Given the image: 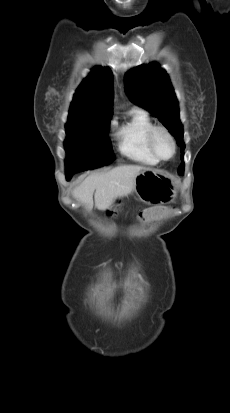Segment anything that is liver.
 <instances>
[{
  "label": "liver",
  "instance_id": "1",
  "mask_svg": "<svg viewBox=\"0 0 230 413\" xmlns=\"http://www.w3.org/2000/svg\"><path fill=\"white\" fill-rule=\"evenodd\" d=\"M143 168L140 165H122L105 173L92 174L73 190V197L89 211L94 205L99 210H106L117 198L134 191L135 178Z\"/></svg>",
  "mask_w": 230,
  "mask_h": 413
}]
</instances>
